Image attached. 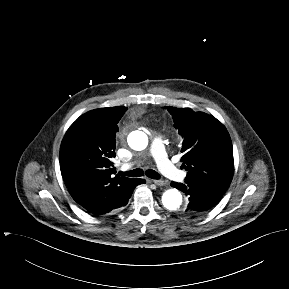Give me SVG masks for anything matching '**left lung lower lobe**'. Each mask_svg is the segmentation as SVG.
Returning a JSON list of instances; mask_svg holds the SVG:
<instances>
[{
	"label": "left lung lower lobe",
	"mask_w": 289,
	"mask_h": 289,
	"mask_svg": "<svg viewBox=\"0 0 289 289\" xmlns=\"http://www.w3.org/2000/svg\"><path fill=\"white\" fill-rule=\"evenodd\" d=\"M171 186L181 190L189 197V203L182 213L186 216H198L212 208L223 194L204 187L171 182Z\"/></svg>",
	"instance_id": "obj_1"
}]
</instances>
